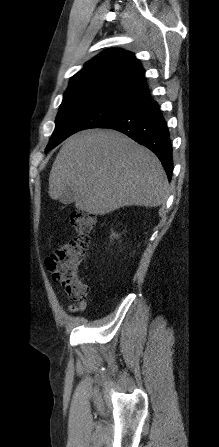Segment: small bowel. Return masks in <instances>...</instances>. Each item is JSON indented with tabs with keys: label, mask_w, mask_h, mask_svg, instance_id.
<instances>
[{
	"label": "small bowel",
	"mask_w": 219,
	"mask_h": 447,
	"mask_svg": "<svg viewBox=\"0 0 219 447\" xmlns=\"http://www.w3.org/2000/svg\"><path fill=\"white\" fill-rule=\"evenodd\" d=\"M87 303L84 302H72L66 307V310L71 313H79L86 309Z\"/></svg>",
	"instance_id": "1"
}]
</instances>
